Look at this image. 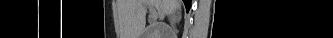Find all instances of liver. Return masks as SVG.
<instances>
[{
    "instance_id": "6515ba94",
    "label": "liver",
    "mask_w": 333,
    "mask_h": 38,
    "mask_svg": "<svg viewBox=\"0 0 333 38\" xmlns=\"http://www.w3.org/2000/svg\"><path fill=\"white\" fill-rule=\"evenodd\" d=\"M133 4L127 5L129 10ZM157 10L160 18L180 10L179 0H136L135 1V36H140L146 24V7Z\"/></svg>"
}]
</instances>
